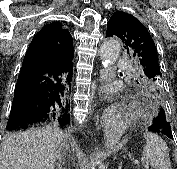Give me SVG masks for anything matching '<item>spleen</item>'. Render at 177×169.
Segmentation results:
<instances>
[{
	"label": "spleen",
	"instance_id": "spleen-1",
	"mask_svg": "<svg viewBox=\"0 0 177 169\" xmlns=\"http://www.w3.org/2000/svg\"><path fill=\"white\" fill-rule=\"evenodd\" d=\"M146 145L142 159L154 169H172L166 142L157 134L144 133Z\"/></svg>",
	"mask_w": 177,
	"mask_h": 169
}]
</instances>
